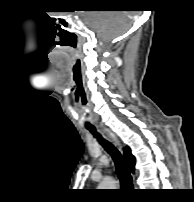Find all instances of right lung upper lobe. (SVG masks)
I'll return each mask as SVG.
<instances>
[{
    "label": "right lung upper lobe",
    "instance_id": "1",
    "mask_svg": "<svg viewBox=\"0 0 194 202\" xmlns=\"http://www.w3.org/2000/svg\"><path fill=\"white\" fill-rule=\"evenodd\" d=\"M124 157L129 164L130 171L133 172L135 166V157L131 154L129 147L124 148Z\"/></svg>",
    "mask_w": 194,
    "mask_h": 202
}]
</instances>
